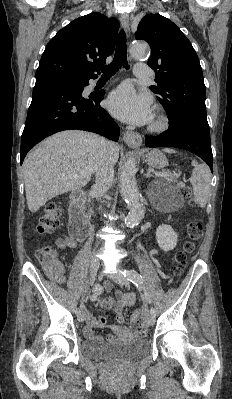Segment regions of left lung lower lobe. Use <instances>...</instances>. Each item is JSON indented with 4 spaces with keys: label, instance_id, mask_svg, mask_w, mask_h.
Wrapping results in <instances>:
<instances>
[{
    "label": "left lung lower lobe",
    "instance_id": "left-lung-lower-lobe-1",
    "mask_svg": "<svg viewBox=\"0 0 232 399\" xmlns=\"http://www.w3.org/2000/svg\"><path fill=\"white\" fill-rule=\"evenodd\" d=\"M146 147H176L188 150L202 158L213 172L210 138L185 127H171L158 136H145Z\"/></svg>",
    "mask_w": 232,
    "mask_h": 399
}]
</instances>
